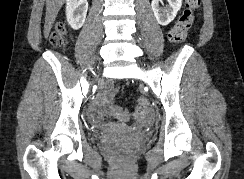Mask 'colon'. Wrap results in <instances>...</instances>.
<instances>
[{"label":"colon","instance_id":"5ec220e1","mask_svg":"<svg viewBox=\"0 0 244 179\" xmlns=\"http://www.w3.org/2000/svg\"><path fill=\"white\" fill-rule=\"evenodd\" d=\"M199 7L200 4L198 0H188L183 14L179 17L169 33L173 43L181 44L185 42L191 28L195 25L194 14ZM68 33L69 29L66 25L58 24L51 36L52 45L58 48L65 47L68 42ZM139 101L134 111V120L138 119L137 115L141 114L140 110H150V102H147V98H140ZM108 109H116V111L115 113L114 111H107V116H114L115 114V118L119 119V123H130L128 107H122V104H108Z\"/></svg>","mask_w":244,"mask_h":179}]
</instances>
